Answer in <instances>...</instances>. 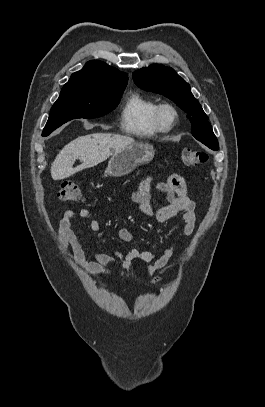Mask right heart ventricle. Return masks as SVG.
Wrapping results in <instances>:
<instances>
[{
    "label": "right heart ventricle",
    "mask_w": 265,
    "mask_h": 407,
    "mask_svg": "<svg viewBox=\"0 0 265 407\" xmlns=\"http://www.w3.org/2000/svg\"><path fill=\"white\" fill-rule=\"evenodd\" d=\"M158 104L141 93L132 92L126 98L121 110V126L132 136L146 138L159 134L155 122Z\"/></svg>",
    "instance_id": "obj_1"
}]
</instances>
